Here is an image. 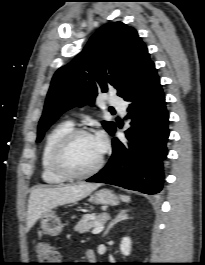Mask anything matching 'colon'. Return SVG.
I'll use <instances>...</instances> for the list:
<instances>
[{
    "label": "colon",
    "mask_w": 205,
    "mask_h": 265,
    "mask_svg": "<svg viewBox=\"0 0 205 265\" xmlns=\"http://www.w3.org/2000/svg\"><path fill=\"white\" fill-rule=\"evenodd\" d=\"M36 256L40 262L39 265H57L60 253L54 246L48 243H40L36 247Z\"/></svg>",
    "instance_id": "obj_1"
}]
</instances>
